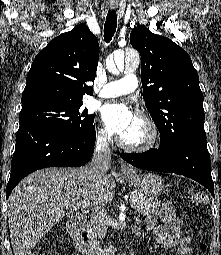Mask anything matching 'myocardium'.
<instances>
[{"instance_id":"myocardium-1","label":"myocardium","mask_w":221,"mask_h":255,"mask_svg":"<svg viewBox=\"0 0 221 255\" xmlns=\"http://www.w3.org/2000/svg\"><path fill=\"white\" fill-rule=\"evenodd\" d=\"M138 118L146 126L148 136L146 140L140 143H129L124 141L120 136L117 138L118 145L130 152H147L154 149L160 139V133L156 122L148 114L139 111L136 113Z\"/></svg>"}]
</instances>
